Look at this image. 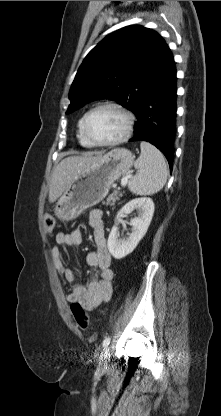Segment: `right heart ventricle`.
Returning <instances> with one entry per match:
<instances>
[{
    "mask_svg": "<svg viewBox=\"0 0 221 416\" xmlns=\"http://www.w3.org/2000/svg\"><path fill=\"white\" fill-rule=\"evenodd\" d=\"M81 121L82 120H80L79 121V124H78V132H77V138H78V141H79V143L82 145V146H85V147H92L93 145L84 137V135L82 134V131H81Z\"/></svg>",
    "mask_w": 221,
    "mask_h": 416,
    "instance_id": "1",
    "label": "right heart ventricle"
}]
</instances>
